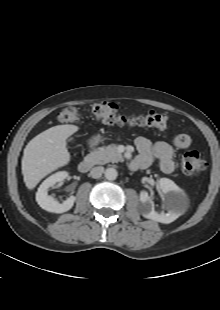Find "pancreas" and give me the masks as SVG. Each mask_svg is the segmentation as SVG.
I'll return each mask as SVG.
<instances>
[{"label": "pancreas", "instance_id": "1", "mask_svg": "<svg viewBox=\"0 0 220 310\" xmlns=\"http://www.w3.org/2000/svg\"><path fill=\"white\" fill-rule=\"evenodd\" d=\"M88 158L92 159L95 164L101 165L123 160L122 155L117 151V146L115 144L94 150L88 155Z\"/></svg>", "mask_w": 220, "mask_h": 310}]
</instances>
